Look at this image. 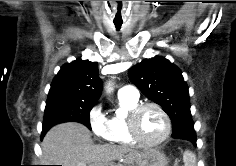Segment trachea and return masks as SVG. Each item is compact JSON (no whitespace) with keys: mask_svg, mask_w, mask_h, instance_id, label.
<instances>
[{"mask_svg":"<svg viewBox=\"0 0 236 166\" xmlns=\"http://www.w3.org/2000/svg\"><path fill=\"white\" fill-rule=\"evenodd\" d=\"M121 25H122L121 23H115L116 29L119 30L121 28Z\"/></svg>","mask_w":236,"mask_h":166,"instance_id":"obj_1","label":"trachea"}]
</instances>
